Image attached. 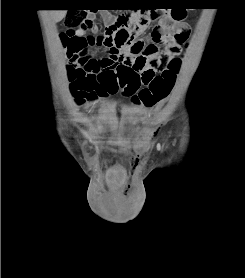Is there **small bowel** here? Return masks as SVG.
I'll return each instance as SVG.
<instances>
[{
  "label": "small bowel",
  "mask_w": 245,
  "mask_h": 278,
  "mask_svg": "<svg viewBox=\"0 0 245 278\" xmlns=\"http://www.w3.org/2000/svg\"><path fill=\"white\" fill-rule=\"evenodd\" d=\"M160 18L162 24V30L156 33V40L160 44L166 47V52L161 57H154L152 55H142L139 52H130L125 47L115 48L111 42L106 44L96 43L97 37H91L93 41V48L101 49L105 52V56L100 59H94L88 56V54L80 57L79 59L72 61L71 65L81 66V62L89 63L90 68L88 70L89 75L93 79L94 87V99L100 97H111L114 94L108 92V88L112 85H116L121 77L127 76L129 72L135 74H143L146 70L150 69L155 72H162L169 64V59L174 55V52L167 49V37L166 33L171 29L176 28L179 33L189 35L191 27L184 21H174L171 13L164 10H160ZM101 17L106 25H111L115 21V16L107 10L102 11ZM146 26H139L137 33H142ZM93 32L97 31V27L92 28ZM74 35L87 38L85 30L79 29L74 32ZM142 119L146 120L148 114H142ZM107 121L104 119L99 120L100 124H104ZM154 132L151 131V136Z\"/></svg>",
  "instance_id": "obj_1"
}]
</instances>
